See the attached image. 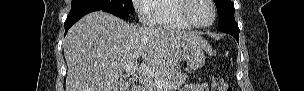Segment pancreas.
<instances>
[{
	"mask_svg": "<svg viewBox=\"0 0 304 91\" xmlns=\"http://www.w3.org/2000/svg\"><path fill=\"white\" fill-rule=\"evenodd\" d=\"M187 75L184 74L181 70L179 69H172L168 72H165L163 75L157 77L155 81H160L162 83H167L169 86V90H177L179 89L183 84H185ZM152 82V83H154ZM150 84L146 86L145 90L146 91H156L154 88L153 84Z\"/></svg>",
	"mask_w": 304,
	"mask_h": 91,
	"instance_id": "pancreas-1",
	"label": "pancreas"
}]
</instances>
